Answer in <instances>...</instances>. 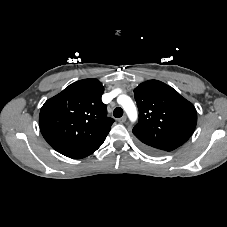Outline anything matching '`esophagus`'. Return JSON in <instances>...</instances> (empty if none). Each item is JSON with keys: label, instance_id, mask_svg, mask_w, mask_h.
Returning <instances> with one entry per match:
<instances>
[{"label": "esophagus", "instance_id": "1", "mask_svg": "<svg viewBox=\"0 0 227 227\" xmlns=\"http://www.w3.org/2000/svg\"><path fill=\"white\" fill-rule=\"evenodd\" d=\"M127 117L126 116H122L121 118L118 119L119 123H124L126 121Z\"/></svg>", "mask_w": 227, "mask_h": 227}]
</instances>
